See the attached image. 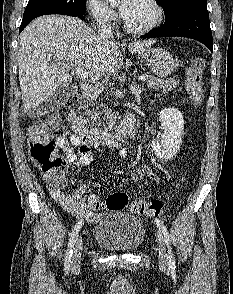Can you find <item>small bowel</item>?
<instances>
[{"label":"small bowel","mask_w":233,"mask_h":294,"mask_svg":"<svg viewBox=\"0 0 233 294\" xmlns=\"http://www.w3.org/2000/svg\"><path fill=\"white\" fill-rule=\"evenodd\" d=\"M57 146L64 152L70 166H86L93 159L92 145L84 141L76 133H73L69 138L59 137L57 139ZM143 175H147L155 181L159 179L146 164L136 169L131 179L134 182H138ZM49 184L52 198L74 218L88 224H92L101 218L102 214L93 211L95 208L91 205L92 201L99 200L92 193V189L98 186L96 182L87 181L82 183L73 193H67L63 188H56L50 182Z\"/></svg>","instance_id":"obj_1"}]
</instances>
